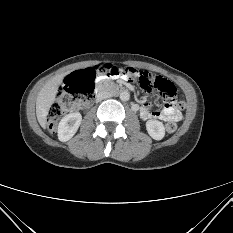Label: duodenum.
Listing matches in <instances>:
<instances>
[{
	"mask_svg": "<svg viewBox=\"0 0 233 233\" xmlns=\"http://www.w3.org/2000/svg\"><path fill=\"white\" fill-rule=\"evenodd\" d=\"M124 91V87L120 84L102 81L97 85L96 95L99 93H120Z\"/></svg>",
	"mask_w": 233,
	"mask_h": 233,
	"instance_id": "obj_1",
	"label": "duodenum"
}]
</instances>
